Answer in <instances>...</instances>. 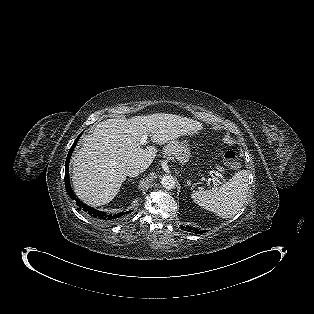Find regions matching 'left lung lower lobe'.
Instances as JSON below:
<instances>
[{
	"label": "left lung lower lobe",
	"instance_id": "left-lung-lower-lobe-1",
	"mask_svg": "<svg viewBox=\"0 0 314 314\" xmlns=\"http://www.w3.org/2000/svg\"><path fill=\"white\" fill-rule=\"evenodd\" d=\"M185 228V230L187 229L186 227H184V226H181V229H184ZM193 229L192 228H188V231H192ZM195 233H197V234H201V233H204V231H199L198 229H195Z\"/></svg>",
	"mask_w": 314,
	"mask_h": 314
}]
</instances>
